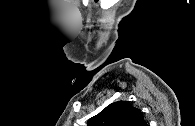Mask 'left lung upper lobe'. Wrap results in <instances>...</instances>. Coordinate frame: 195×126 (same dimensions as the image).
I'll return each mask as SVG.
<instances>
[{
	"mask_svg": "<svg viewBox=\"0 0 195 126\" xmlns=\"http://www.w3.org/2000/svg\"><path fill=\"white\" fill-rule=\"evenodd\" d=\"M88 126H147L140 109L131 102L118 101L108 105L87 122Z\"/></svg>",
	"mask_w": 195,
	"mask_h": 126,
	"instance_id": "5c2ea615",
	"label": "left lung upper lobe"
}]
</instances>
